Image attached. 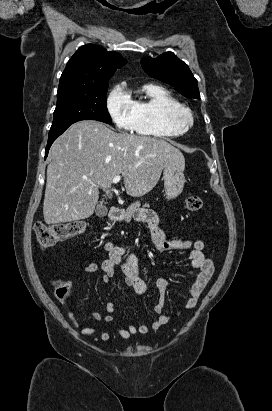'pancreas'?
<instances>
[{
	"mask_svg": "<svg viewBox=\"0 0 272 411\" xmlns=\"http://www.w3.org/2000/svg\"><path fill=\"white\" fill-rule=\"evenodd\" d=\"M148 206H149L148 204H145L143 207H148ZM139 210H141V204L139 201H136L127 208L123 218L125 220H130L131 217L134 216V214Z\"/></svg>",
	"mask_w": 272,
	"mask_h": 411,
	"instance_id": "cf45deb5",
	"label": "pancreas"
}]
</instances>
